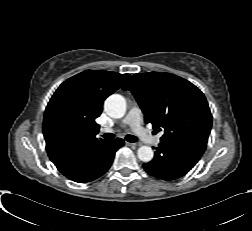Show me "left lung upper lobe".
<instances>
[{
    "label": "left lung upper lobe",
    "mask_w": 252,
    "mask_h": 231,
    "mask_svg": "<svg viewBox=\"0 0 252 231\" xmlns=\"http://www.w3.org/2000/svg\"><path fill=\"white\" fill-rule=\"evenodd\" d=\"M135 96L162 141L193 138L207 143L212 115L204 94L191 82L170 73H137L122 86Z\"/></svg>",
    "instance_id": "1"
}]
</instances>
